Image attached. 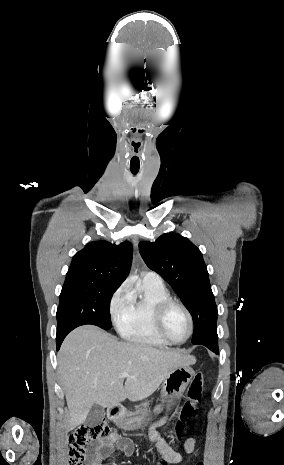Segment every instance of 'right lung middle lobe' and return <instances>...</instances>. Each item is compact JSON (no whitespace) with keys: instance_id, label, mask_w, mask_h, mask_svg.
<instances>
[{"instance_id":"dd1d6c3e","label":"right lung middle lobe","mask_w":284,"mask_h":465,"mask_svg":"<svg viewBox=\"0 0 284 465\" xmlns=\"http://www.w3.org/2000/svg\"><path fill=\"white\" fill-rule=\"evenodd\" d=\"M117 288L93 280H65L56 313L57 332L85 324L110 329V300Z\"/></svg>"}]
</instances>
